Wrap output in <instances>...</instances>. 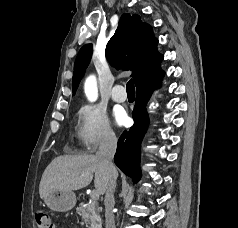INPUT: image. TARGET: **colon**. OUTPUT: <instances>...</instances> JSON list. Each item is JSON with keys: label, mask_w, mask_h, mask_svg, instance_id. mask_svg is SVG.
Listing matches in <instances>:
<instances>
[{"label": "colon", "mask_w": 238, "mask_h": 228, "mask_svg": "<svg viewBox=\"0 0 238 228\" xmlns=\"http://www.w3.org/2000/svg\"><path fill=\"white\" fill-rule=\"evenodd\" d=\"M35 222L37 228H54L51 216L46 210L39 209L35 213Z\"/></svg>", "instance_id": "obj_1"}]
</instances>
